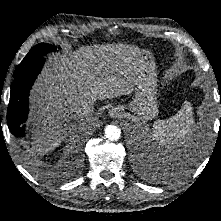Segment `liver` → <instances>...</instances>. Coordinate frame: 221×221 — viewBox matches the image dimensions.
Instances as JSON below:
<instances>
[{
  "instance_id": "6515ba94",
  "label": "liver",
  "mask_w": 221,
  "mask_h": 221,
  "mask_svg": "<svg viewBox=\"0 0 221 221\" xmlns=\"http://www.w3.org/2000/svg\"><path fill=\"white\" fill-rule=\"evenodd\" d=\"M139 47L127 44L81 47L49 57L31 96L33 150L38 154L55 149L61 140L62 123L73 117L81 100L112 99L129 95L141 62Z\"/></svg>"
}]
</instances>
